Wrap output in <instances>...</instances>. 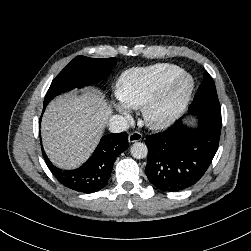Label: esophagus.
Instances as JSON below:
<instances>
[{
  "instance_id": "34e87169",
  "label": "esophagus",
  "mask_w": 251,
  "mask_h": 251,
  "mask_svg": "<svg viewBox=\"0 0 251 251\" xmlns=\"http://www.w3.org/2000/svg\"><path fill=\"white\" fill-rule=\"evenodd\" d=\"M142 139V134L140 132H132L129 137L128 140L130 143H134V142H138Z\"/></svg>"
}]
</instances>
